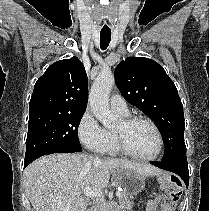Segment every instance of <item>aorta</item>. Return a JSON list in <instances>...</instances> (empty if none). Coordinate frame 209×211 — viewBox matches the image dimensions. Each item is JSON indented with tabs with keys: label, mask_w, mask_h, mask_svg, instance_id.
Masks as SVG:
<instances>
[{
	"label": "aorta",
	"mask_w": 209,
	"mask_h": 211,
	"mask_svg": "<svg viewBox=\"0 0 209 211\" xmlns=\"http://www.w3.org/2000/svg\"><path fill=\"white\" fill-rule=\"evenodd\" d=\"M114 83L111 72H102L96 77L89 94L91 110L106 128L115 127L118 121L117 115L109 108V95Z\"/></svg>",
	"instance_id": "762f6f07"
}]
</instances>
